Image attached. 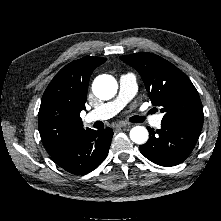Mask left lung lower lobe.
<instances>
[{
  "instance_id": "left-lung-lower-lobe-1",
  "label": "left lung lower lobe",
  "mask_w": 221,
  "mask_h": 221,
  "mask_svg": "<svg viewBox=\"0 0 221 221\" xmlns=\"http://www.w3.org/2000/svg\"><path fill=\"white\" fill-rule=\"evenodd\" d=\"M150 138L139 147L150 161L161 166L183 162L193 150L202 127L189 124L162 123L161 129L147 127Z\"/></svg>"
}]
</instances>
